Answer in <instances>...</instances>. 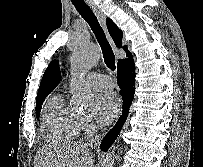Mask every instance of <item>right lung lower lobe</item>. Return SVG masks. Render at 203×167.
<instances>
[{"label":"right lung lower lobe","instance_id":"1","mask_svg":"<svg viewBox=\"0 0 203 167\" xmlns=\"http://www.w3.org/2000/svg\"><path fill=\"white\" fill-rule=\"evenodd\" d=\"M134 79V61L127 62L118 68L117 83L121 89L120 94L123 99V112L115 126L102 140L100 145L102 151H107L110 148L126 121L135 92Z\"/></svg>","mask_w":203,"mask_h":167}]
</instances>
